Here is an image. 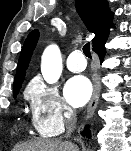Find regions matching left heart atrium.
Here are the masks:
<instances>
[{"mask_svg":"<svg viewBox=\"0 0 131 151\" xmlns=\"http://www.w3.org/2000/svg\"><path fill=\"white\" fill-rule=\"evenodd\" d=\"M64 94L70 105L81 107L86 104L91 97V82L85 76H74L67 81Z\"/></svg>","mask_w":131,"mask_h":151,"instance_id":"obj_1","label":"left heart atrium"}]
</instances>
